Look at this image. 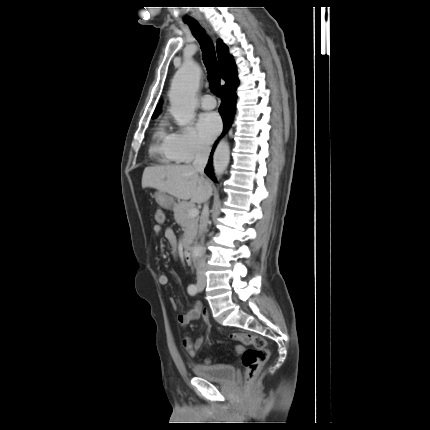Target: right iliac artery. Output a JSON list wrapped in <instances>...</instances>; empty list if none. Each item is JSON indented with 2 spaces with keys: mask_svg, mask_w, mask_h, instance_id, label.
Wrapping results in <instances>:
<instances>
[{
  "mask_svg": "<svg viewBox=\"0 0 430 430\" xmlns=\"http://www.w3.org/2000/svg\"><path fill=\"white\" fill-rule=\"evenodd\" d=\"M187 291L190 295H195L198 292V286L195 284H191L188 286Z\"/></svg>",
  "mask_w": 430,
  "mask_h": 430,
  "instance_id": "right-iliac-artery-1",
  "label": "right iliac artery"
}]
</instances>
